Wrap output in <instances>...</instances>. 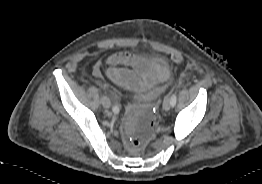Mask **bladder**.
I'll return each mask as SVG.
<instances>
[{
  "mask_svg": "<svg viewBox=\"0 0 262 184\" xmlns=\"http://www.w3.org/2000/svg\"><path fill=\"white\" fill-rule=\"evenodd\" d=\"M151 97V92L147 93V94H144V95H141L140 96V99L142 100H147Z\"/></svg>",
  "mask_w": 262,
  "mask_h": 184,
  "instance_id": "obj_1",
  "label": "bladder"
}]
</instances>
